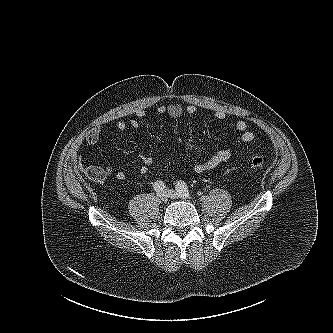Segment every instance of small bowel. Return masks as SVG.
<instances>
[{
	"label": "small bowel",
	"instance_id": "small-bowel-1",
	"mask_svg": "<svg viewBox=\"0 0 333 333\" xmlns=\"http://www.w3.org/2000/svg\"><path fill=\"white\" fill-rule=\"evenodd\" d=\"M157 113L160 115H168L173 119L181 118L185 113L193 115L196 113L197 108L193 104H189L186 107H183L179 103H170L168 105L160 104L157 106ZM138 117L144 116V111L140 110L137 113ZM225 113L223 111H216L214 117L217 120H224ZM139 123L137 120L132 119L129 122L118 120L115 123V127L120 132H125L128 128L137 129ZM235 129L239 132V142L245 145H249L255 138V134L249 130L248 124L244 120H238L235 122ZM101 129L100 127L92 128L85 137V140L88 144L94 145L97 144L101 138ZM250 149L246 147L243 152H248ZM233 154V148H223L215 150L211 153L210 157L203 163H197L194 165L193 170L195 173H203L210 170H214L219 167L224 162L228 161ZM141 162L138 171L141 175L148 173L149 167L153 163V158L149 155H142ZM73 167L75 170L82 172L87 176L88 179L94 182H102L108 179L111 176H114L117 180L122 181L126 178L127 174L124 170H118L114 172L111 167H99V166H89L85 167L82 164L81 158L76 157L73 160Z\"/></svg>",
	"mask_w": 333,
	"mask_h": 333
}]
</instances>
